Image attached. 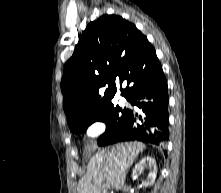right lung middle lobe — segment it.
Segmentation results:
<instances>
[{"label":"right lung middle lobe","instance_id":"1","mask_svg":"<svg viewBox=\"0 0 221 193\" xmlns=\"http://www.w3.org/2000/svg\"><path fill=\"white\" fill-rule=\"evenodd\" d=\"M129 100V98H127ZM131 110L114 106L112 103L108 106L95 112L86 114L77 118L70 126V130L74 133H81L87 127L96 122L101 121L106 123V131L99 139V145H104V142L115 136L126 124Z\"/></svg>","mask_w":221,"mask_h":193}]
</instances>
